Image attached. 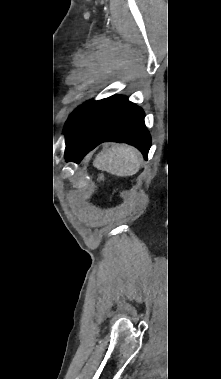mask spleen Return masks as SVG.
<instances>
[{
    "label": "spleen",
    "instance_id": "1",
    "mask_svg": "<svg viewBox=\"0 0 221 379\" xmlns=\"http://www.w3.org/2000/svg\"><path fill=\"white\" fill-rule=\"evenodd\" d=\"M94 166L116 176H132L140 168V155L131 146L114 144L95 158Z\"/></svg>",
    "mask_w": 221,
    "mask_h": 379
}]
</instances>
